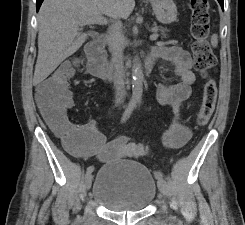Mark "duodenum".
Here are the masks:
<instances>
[{
    "label": "duodenum",
    "mask_w": 245,
    "mask_h": 225,
    "mask_svg": "<svg viewBox=\"0 0 245 225\" xmlns=\"http://www.w3.org/2000/svg\"><path fill=\"white\" fill-rule=\"evenodd\" d=\"M103 44L104 39L103 37H100L86 45L88 71L90 74L97 77L109 78L110 80L117 81L119 83H128L129 78L132 75L131 70H133L135 63L131 61L126 66L108 64L105 59ZM155 60L156 55L153 52H148L143 56L138 64L144 71H148Z\"/></svg>",
    "instance_id": "obj_1"
}]
</instances>
